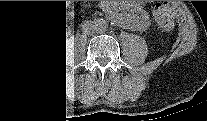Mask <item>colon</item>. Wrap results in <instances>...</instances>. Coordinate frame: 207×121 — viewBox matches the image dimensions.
I'll use <instances>...</instances> for the list:
<instances>
[{"instance_id": "1", "label": "colon", "mask_w": 207, "mask_h": 121, "mask_svg": "<svg viewBox=\"0 0 207 121\" xmlns=\"http://www.w3.org/2000/svg\"><path fill=\"white\" fill-rule=\"evenodd\" d=\"M154 19L164 31H170L174 28L173 10L166 2L158 3L153 10Z\"/></svg>"}]
</instances>
